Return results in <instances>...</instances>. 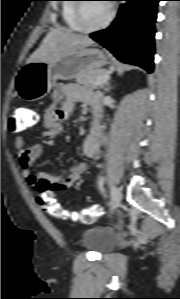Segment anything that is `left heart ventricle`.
<instances>
[{"label":"left heart ventricle","instance_id":"left-heart-ventricle-1","mask_svg":"<svg viewBox=\"0 0 180 299\" xmlns=\"http://www.w3.org/2000/svg\"><path fill=\"white\" fill-rule=\"evenodd\" d=\"M109 13V6L106 2L84 3L82 7V21L86 27H94L101 24Z\"/></svg>","mask_w":180,"mask_h":299}]
</instances>
